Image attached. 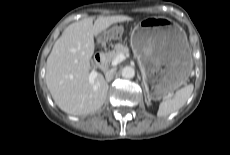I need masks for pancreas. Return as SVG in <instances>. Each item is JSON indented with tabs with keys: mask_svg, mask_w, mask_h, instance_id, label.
Instances as JSON below:
<instances>
[{
	"mask_svg": "<svg viewBox=\"0 0 230 155\" xmlns=\"http://www.w3.org/2000/svg\"><path fill=\"white\" fill-rule=\"evenodd\" d=\"M129 53V49L127 46H124L121 43H117L114 46V50L108 51L102 55L104 61L106 63H111L119 54L127 55Z\"/></svg>",
	"mask_w": 230,
	"mask_h": 155,
	"instance_id": "1",
	"label": "pancreas"
}]
</instances>
